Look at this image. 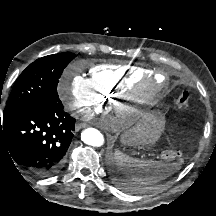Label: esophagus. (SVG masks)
Listing matches in <instances>:
<instances>
[{
	"mask_svg": "<svg viewBox=\"0 0 216 216\" xmlns=\"http://www.w3.org/2000/svg\"><path fill=\"white\" fill-rule=\"evenodd\" d=\"M86 126H87L86 123H77V124L75 125V130H76V131H79L80 129L85 128Z\"/></svg>",
	"mask_w": 216,
	"mask_h": 216,
	"instance_id": "esophagus-1",
	"label": "esophagus"
}]
</instances>
